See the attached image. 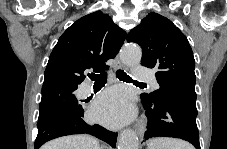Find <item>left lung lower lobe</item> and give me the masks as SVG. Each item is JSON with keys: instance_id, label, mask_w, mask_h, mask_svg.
Wrapping results in <instances>:
<instances>
[{"instance_id": "obj_1", "label": "left lung lower lobe", "mask_w": 227, "mask_h": 149, "mask_svg": "<svg viewBox=\"0 0 227 149\" xmlns=\"http://www.w3.org/2000/svg\"><path fill=\"white\" fill-rule=\"evenodd\" d=\"M141 100L148 118L145 140L154 137L180 138L200 149L194 103L175 97L152 101L143 94Z\"/></svg>"}]
</instances>
